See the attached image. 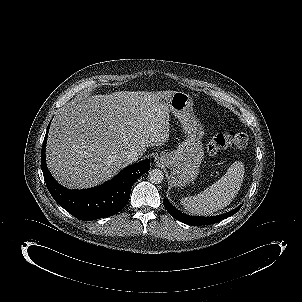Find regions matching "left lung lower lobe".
<instances>
[{
	"mask_svg": "<svg viewBox=\"0 0 302 302\" xmlns=\"http://www.w3.org/2000/svg\"><path fill=\"white\" fill-rule=\"evenodd\" d=\"M163 204H164L166 210L169 212V214L172 217H174L178 221H181L185 224L192 225V226L209 225V224L216 223L220 220H223V219L235 214L242 206V205H240L239 207L235 208L234 210H232L228 213L222 214V215H218V216L195 217V216H189V215H186V214L180 212L175 207H173L169 203V201L166 199L163 201Z\"/></svg>",
	"mask_w": 302,
	"mask_h": 302,
	"instance_id": "obj_1",
	"label": "left lung lower lobe"
}]
</instances>
